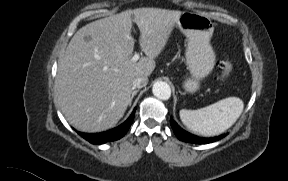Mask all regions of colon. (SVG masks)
<instances>
[{
	"instance_id": "5ec220e1",
	"label": "colon",
	"mask_w": 288,
	"mask_h": 181,
	"mask_svg": "<svg viewBox=\"0 0 288 181\" xmlns=\"http://www.w3.org/2000/svg\"><path fill=\"white\" fill-rule=\"evenodd\" d=\"M219 67H220V70H221V74L219 76V79L221 81H224L226 80L232 73V70H233V65H232V62L230 60H224V61H221L219 63Z\"/></svg>"
}]
</instances>
